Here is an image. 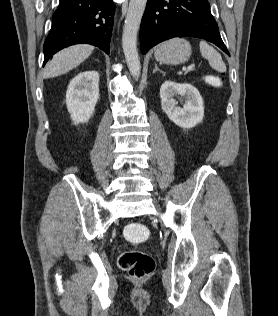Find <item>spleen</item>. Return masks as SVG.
I'll return each instance as SVG.
<instances>
[{"instance_id": "3e777b00", "label": "spleen", "mask_w": 278, "mask_h": 316, "mask_svg": "<svg viewBox=\"0 0 278 316\" xmlns=\"http://www.w3.org/2000/svg\"><path fill=\"white\" fill-rule=\"evenodd\" d=\"M200 52L202 56L208 60L210 66L218 72H226V65L221 55L212 46L205 41L200 42Z\"/></svg>"}]
</instances>
